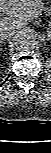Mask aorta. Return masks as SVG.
Wrapping results in <instances>:
<instances>
[{
	"instance_id": "obj_1",
	"label": "aorta",
	"mask_w": 51,
	"mask_h": 153,
	"mask_svg": "<svg viewBox=\"0 0 51 153\" xmlns=\"http://www.w3.org/2000/svg\"><path fill=\"white\" fill-rule=\"evenodd\" d=\"M14 45L18 51H29L34 48L35 39L30 34H22L16 38Z\"/></svg>"
}]
</instances>
